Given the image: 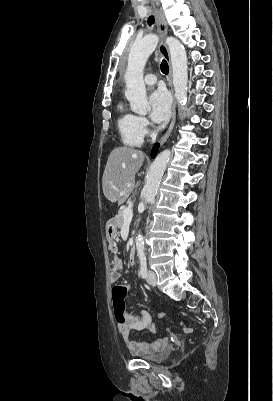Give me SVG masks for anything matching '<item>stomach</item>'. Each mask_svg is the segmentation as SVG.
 Here are the masks:
<instances>
[{"instance_id":"0dacf381","label":"stomach","mask_w":273,"mask_h":401,"mask_svg":"<svg viewBox=\"0 0 273 401\" xmlns=\"http://www.w3.org/2000/svg\"><path fill=\"white\" fill-rule=\"evenodd\" d=\"M105 229L108 241H113V239H115L117 235V225L114 219H110V221H107Z\"/></svg>"}]
</instances>
